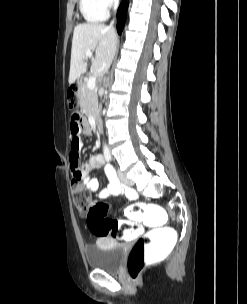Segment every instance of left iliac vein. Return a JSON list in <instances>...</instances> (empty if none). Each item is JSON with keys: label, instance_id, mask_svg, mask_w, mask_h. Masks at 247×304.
Here are the masks:
<instances>
[{"label": "left iliac vein", "instance_id": "left-iliac-vein-1", "mask_svg": "<svg viewBox=\"0 0 247 304\" xmlns=\"http://www.w3.org/2000/svg\"><path fill=\"white\" fill-rule=\"evenodd\" d=\"M117 174H118V177H119L120 181L123 184L128 185V186H132L134 184L133 180L128 178L123 172L118 170Z\"/></svg>", "mask_w": 247, "mask_h": 304}]
</instances>
